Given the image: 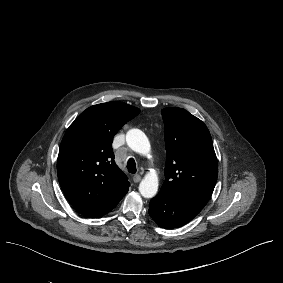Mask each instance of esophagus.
Masks as SVG:
<instances>
[{"mask_svg":"<svg viewBox=\"0 0 283 283\" xmlns=\"http://www.w3.org/2000/svg\"><path fill=\"white\" fill-rule=\"evenodd\" d=\"M141 181V176L140 175H134L133 176V182L134 183H138V182H140Z\"/></svg>","mask_w":283,"mask_h":283,"instance_id":"34e87169","label":"esophagus"}]
</instances>
